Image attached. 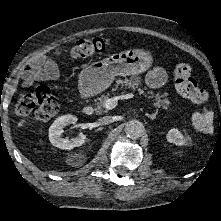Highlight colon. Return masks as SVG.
Here are the masks:
<instances>
[{
  "instance_id": "colon-1",
  "label": "colon",
  "mask_w": 221,
  "mask_h": 221,
  "mask_svg": "<svg viewBox=\"0 0 221 221\" xmlns=\"http://www.w3.org/2000/svg\"><path fill=\"white\" fill-rule=\"evenodd\" d=\"M107 42L102 38L82 39L70 49V56L83 59L105 50ZM174 81L177 92L193 103L202 104L208 99V94L200 88L193 77V69L188 63H180L174 70ZM59 102L47 86H38L30 93L23 95L15 106V114L27 115L34 110L36 121H46L56 115Z\"/></svg>"
}]
</instances>
